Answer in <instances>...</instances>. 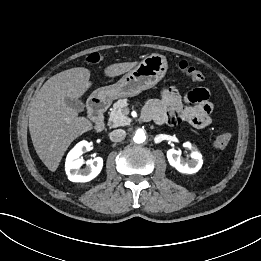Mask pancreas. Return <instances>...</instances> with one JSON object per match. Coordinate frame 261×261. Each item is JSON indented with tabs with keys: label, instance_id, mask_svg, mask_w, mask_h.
Segmentation results:
<instances>
[{
	"label": "pancreas",
	"instance_id": "cf45deb5",
	"mask_svg": "<svg viewBox=\"0 0 261 261\" xmlns=\"http://www.w3.org/2000/svg\"><path fill=\"white\" fill-rule=\"evenodd\" d=\"M127 99H119L114 105L109 114V125L112 128L126 126L130 123L127 117L129 109L127 107Z\"/></svg>",
	"mask_w": 261,
	"mask_h": 261
}]
</instances>
